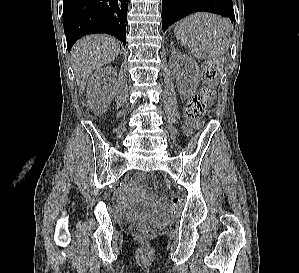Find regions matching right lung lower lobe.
I'll return each mask as SVG.
<instances>
[{"label":"right lung lower lobe","mask_w":299,"mask_h":273,"mask_svg":"<svg viewBox=\"0 0 299 273\" xmlns=\"http://www.w3.org/2000/svg\"><path fill=\"white\" fill-rule=\"evenodd\" d=\"M128 0H63L68 50L84 35L106 33L126 44Z\"/></svg>","instance_id":"right-lung-lower-lobe-1"}]
</instances>
